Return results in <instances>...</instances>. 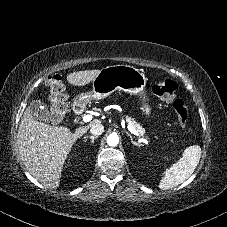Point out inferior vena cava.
<instances>
[{
  "label": "inferior vena cava",
  "instance_id": "obj_1",
  "mask_svg": "<svg viewBox=\"0 0 227 227\" xmlns=\"http://www.w3.org/2000/svg\"><path fill=\"white\" fill-rule=\"evenodd\" d=\"M104 132V126L101 123L92 125L90 133L95 136H99Z\"/></svg>",
  "mask_w": 227,
  "mask_h": 227
}]
</instances>
